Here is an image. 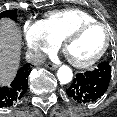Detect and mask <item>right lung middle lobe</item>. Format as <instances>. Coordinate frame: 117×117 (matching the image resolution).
<instances>
[{
    "label": "right lung middle lobe",
    "instance_id": "right-lung-middle-lobe-1",
    "mask_svg": "<svg viewBox=\"0 0 117 117\" xmlns=\"http://www.w3.org/2000/svg\"><path fill=\"white\" fill-rule=\"evenodd\" d=\"M2 17H9V18L16 21V19H17L16 11L15 10H7V11H4V12H1L0 13V19Z\"/></svg>",
    "mask_w": 117,
    "mask_h": 117
}]
</instances>
